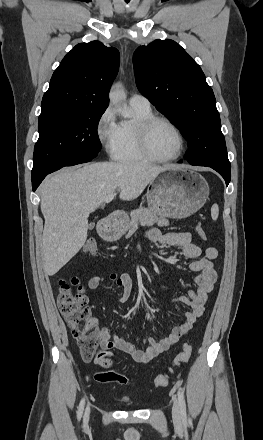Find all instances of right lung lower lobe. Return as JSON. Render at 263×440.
<instances>
[{
	"label": "right lung lower lobe",
	"instance_id": "1",
	"mask_svg": "<svg viewBox=\"0 0 263 440\" xmlns=\"http://www.w3.org/2000/svg\"><path fill=\"white\" fill-rule=\"evenodd\" d=\"M97 154H98V153H86L85 158H84V160H83V163H84V162H89V161H91L94 157L97 156ZM62 167H64V166L56 167V168L53 169L51 172H54V171H56V170H58V169H60V168H62ZM51 172H50V173H51ZM46 175H47V174H46ZM46 175H43V176H41V177H39V178H37V179H33V180H32V189H33V191H35V190L37 189V187L40 185V183H41L42 180L46 177Z\"/></svg>",
	"mask_w": 263,
	"mask_h": 440
}]
</instances>
